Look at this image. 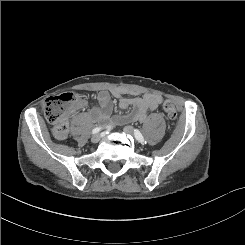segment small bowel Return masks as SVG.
Segmentation results:
<instances>
[{"mask_svg":"<svg viewBox=\"0 0 245 245\" xmlns=\"http://www.w3.org/2000/svg\"><path fill=\"white\" fill-rule=\"evenodd\" d=\"M114 95L119 99L120 109L124 110L132 107L131 112L123 117L127 122L145 121L148 111L156 110L162 101L161 96L153 93H146L140 97H127L122 92L116 91ZM97 101L99 105L90 110V117L96 121H106L109 119L113 109L111 94L107 91H101L97 94ZM85 104V101H82L79 106L83 107Z\"/></svg>","mask_w":245,"mask_h":245,"instance_id":"1","label":"small bowel"}]
</instances>
